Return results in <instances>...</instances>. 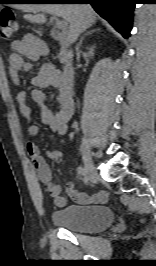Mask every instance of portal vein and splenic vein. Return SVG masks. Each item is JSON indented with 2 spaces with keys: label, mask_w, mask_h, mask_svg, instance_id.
I'll use <instances>...</instances> for the list:
<instances>
[{
  "label": "portal vein and splenic vein",
  "mask_w": 156,
  "mask_h": 266,
  "mask_svg": "<svg viewBox=\"0 0 156 266\" xmlns=\"http://www.w3.org/2000/svg\"><path fill=\"white\" fill-rule=\"evenodd\" d=\"M51 19L55 21L56 26H57L59 29H61V30H66V29H67L68 24H67L66 21H64V20H60V19H59L58 17H56V16H52Z\"/></svg>",
  "instance_id": "18ae733b"
}]
</instances>
